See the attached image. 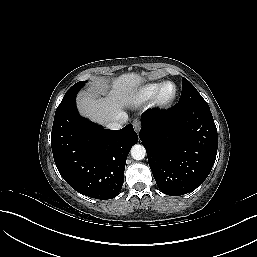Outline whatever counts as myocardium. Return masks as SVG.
I'll return each mask as SVG.
<instances>
[{"label":"myocardium","mask_w":257,"mask_h":257,"mask_svg":"<svg viewBox=\"0 0 257 257\" xmlns=\"http://www.w3.org/2000/svg\"><path fill=\"white\" fill-rule=\"evenodd\" d=\"M168 87L173 88L172 94H167L166 90ZM178 96V89L175 83L165 82L157 93L153 96L152 105L154 108L159 110H168L170 109Z\"/></svg>","instance_id":"1"}]
</instances>
